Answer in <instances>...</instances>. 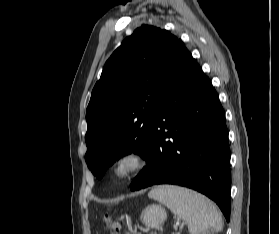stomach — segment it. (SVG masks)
Returning <instances> with one entry per match:
<instances>
[{"label": "stomach", "mask_w": 279, "mask_h": 234, "mask_svg": "<svg viewBox=\"0 0 279 234\" xmlns=\"http://www.w3.org/2000/svg\"><path fill=\"white\" fill-rule=\"evenodd\" d=\"M167 217L165 209L160 205H149L141 213V221L149 228H157Z\"/></svg>", "instance_id": "stomach-1"}]
</instances>
